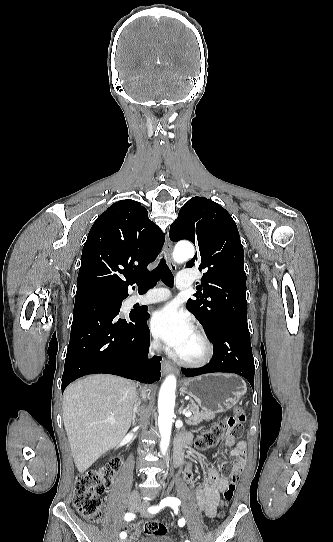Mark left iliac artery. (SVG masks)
Here are the masks:
<instances>
[{"label": "left iliac artery", "instance_id": "obj_1", "mask_svg": "<svg viewBox=\"0 0 333 542\" xmlns=\"http://www.w3.org/2000/svg\"><path fill=\"white\" fill-rule=\"evenodd\" d=\"M181 502L178 498H175V497H167V498H164L163 500H161L160 502V505L159 506H154V507H150L148 510L150 513H157L161 508L165 507V506H171L173 507V505H179ZM178 524L180 527L184 526L185 525V519L182 518L178 521ZM185 542H190L189 540H186Z\"/></svg>", "mask_w": 333, "mask_h": 542}]
</instances>
